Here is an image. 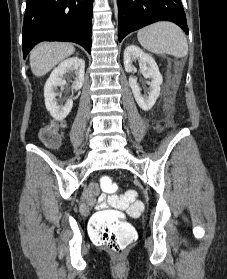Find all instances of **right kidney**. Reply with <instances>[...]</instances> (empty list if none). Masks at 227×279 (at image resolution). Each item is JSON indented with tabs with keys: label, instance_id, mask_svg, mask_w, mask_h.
<instances>
[{
	"label": "right kidney",
	"instance_id": "right-kidney-1",
	"mask_svg": "<svg viewBox=\"0 0 227 279\" xmlns=\"http://www.w3.org/2000/svg\"><path fill=\"white\" fill-rule=\"evenodd\" d=\"M75 71L76 77L72 84V89L79 90L83 86L85 61L78 57H71L61 62L50 74V77L44 86V97L46 109L50 112L51 116L56 120H63L70 113L73 101L67 99L65 105H59L55 93L57 87L65 85L64 75L67 72Z\"/></svg>",
	"mask_w": 227,
	"mask_h": 279
}]
</instances>
